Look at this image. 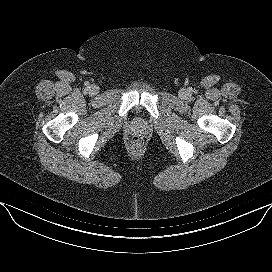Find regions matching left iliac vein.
I'll use <instances>...</instances> for the list:
<instances>
[{"mask_svg": "<svg viewBox=\"0 0 272 272\" xmlns=\"http://www.w3.org/2000/svg\"><path fill=\"white\" fill-rule=\"evenodd\" d=\"M180 96L184 98V97L186 96V92H185V91H182V92L180 93Z\"/></svg>", "mask_w": 272, "mask_h": 272, "instance_id": "4c4485c4", "label": "left iliac vein"}]
</instances>
